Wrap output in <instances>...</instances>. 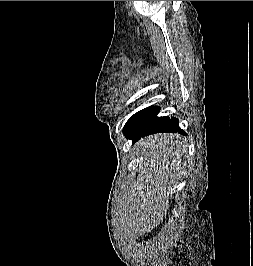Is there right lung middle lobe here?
<instances>
[{"instance_id": "obj_1", "label": "right lung middle lobe", "mask_w": 253, "mask_h": 266, "mask_svg": "<svg viewBox=\"0 0 253 266\" xmlns=\"http://www.w3.org/2000/svg\"><path fill=\"white\" fill-rule=\"evenodd\" d=\"M159 107L150 106L135 113L126 123L130 129H138L147 126H153L159 123L164 117H158Z\"/></svg>"}]
</instances>
